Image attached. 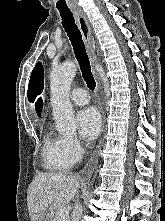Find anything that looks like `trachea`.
<instances>
[{
    "label": "trachea",
    "instance_id": "obj_1",
    "mask_svg": "<svg viewBox=\"0 0 165 221\" xmlns=\"http://www.w3.org/2000/svg\"><path fill=\"white\" fill-rule=\"evenodd\" d=\"M59 12L62 18V25L71 41L75 57L79 63L83 79L85 80L88 88L90 90H94L96 82L92 75L90 61L86 53L81 32L75 23L73 13L70 10H59Z\"/></svg>",
    "mask_w": 165,
    "mask_h": 221
}]
</instances>
